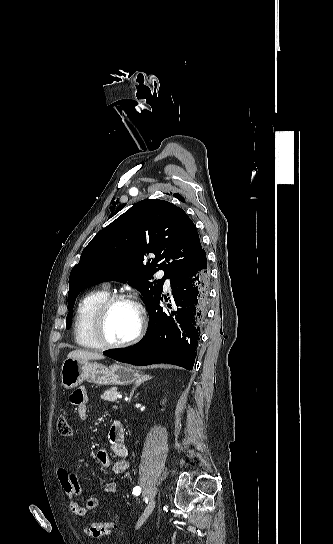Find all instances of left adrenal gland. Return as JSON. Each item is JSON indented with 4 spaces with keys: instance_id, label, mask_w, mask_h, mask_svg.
I'll list each match as a JSON object with an SVG mask.
<instances>
[{
    "instance_id": "left-adrenal-gland-1",
    "label": "left adrenal gland",
    "mask_w": 333,
    "mask_h": 544,
    "mask_svg": "<svg viewBox=\"0 0 333 544\" xmlns=\"http://www.w3.org/2000/svg\"><path fill=\"white\" fill-rule=\"evenodd\" d=\"M151 378H152V377H150V376H143L142 378H140V379H138V380L136 381V384H135L134 388L132 389V391H131V393H130L129 402L131 401V398H132V396H133L134 391L136 390V388H137L138 386H140L142 383H144L145 381L150 380Z\"/></svg>"
}]
</instances>
